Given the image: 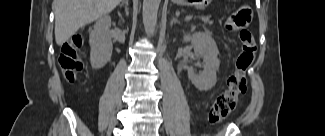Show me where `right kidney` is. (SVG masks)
Segmentation results:
<instances>
[{
  "label": "right kidney",
  "mask_w": 325,
  "mask_h": 136,
  "mask_svg": "<svg viewBox=\"0 0 325 136\" xmlns=\"http://www.w3.org/2000/svg\"><path fill=\"white\" fill-rule=\"evenodd\" d=\"M110 26V16L104 15L96 21L90 33V62L93 69L103 68L111 58L113 46Z\"/></svg>",
  "instance_id": "1"
}]
</instances>
